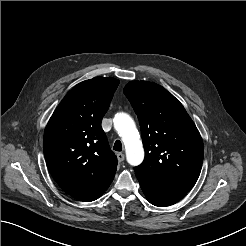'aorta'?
Returning <instances> with one entry per match:
<instances>
[{"label": "aorta", "mask_w": 246, "mask_h": 246, "mask_svg": "<svg viewBox=\"0 0 246 246\" xmlns=\"http://www.w3.org/2000/svg\"><path fill=\"white\" fill-rule=\"evenodd\" d=\"M114 127L124 142L127 162L132 166L141 164L144 149L134 120L126 113H118L114 118Z\"/></svg>", "instance_id": "762f6f07"}]
</instances>
